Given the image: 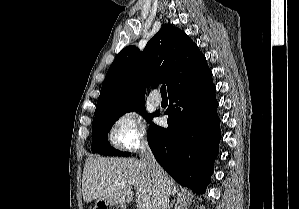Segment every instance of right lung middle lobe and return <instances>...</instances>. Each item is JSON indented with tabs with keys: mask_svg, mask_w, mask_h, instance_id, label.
Returning a JSON list of instances; mask_svg holds the SVG:
<instances>
[{
	"mask_svg": "<svg viewBox=\"0 0 299 209\" xmlns=\"http://www.w3.org/2000/svg\"><path fill=\"white\" fill-rule=\"evenodd\" d=\"M130 111H139L143 116L151 123V119L155 116L154 114H146L144 104H138L130 107L121 108L118 110L97 114L93 119L92 124V153H99L103 155H118L128 156L130 153L120 152L112 147L107 140V134L112 128L116 120L123 114Z\"/></svg>",
	"mask_w": 299,
	"mask_h": 209,
	"instance_id": "right-lung-middle-lobe-1",
	"label": "right lung middle lobe"
}]
</instances>
